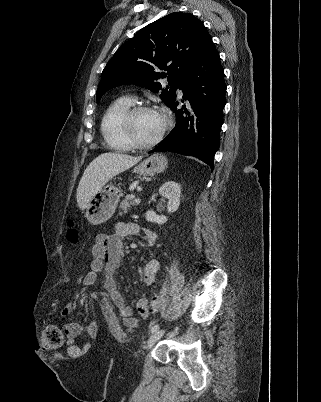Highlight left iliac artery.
Returning a JSON list of instances; mask_svg holds the SVG:
<instances>
[{
  "mask_svg": "<svg viewBox=\"0 0 321 402\" xmlns=\"http://www.w3.org/2000/svg\"><path fill=\"white\" fill-rule=\"evenodd\" d=\"M159 329V325L155 324L151 327V332L154 333L155 331H157Z\"/></svg>",
  "mask_w": 321,
  "mask_h": 402,
  "instance_id": "1",
  "label": "left iliac artery"
}]
</instances>
